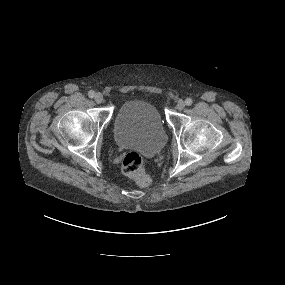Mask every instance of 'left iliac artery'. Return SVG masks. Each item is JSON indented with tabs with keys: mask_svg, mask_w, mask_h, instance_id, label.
Returning a JSON list of instances; mask_svg holds the SVG:
<instances>
[{
	"mask_svg": "<svg viewBox=\"0 0 285 285\" xmlns=\"http://www.w3.org/2000/svg\"><path fill=\"white\" fill-rule=\"evenodd\" d=\"M185 103H186L187 106H190V105H192L193 101H192L191 98H187V99L185 100Z\"/></svg>",
	"mask_w": 285,
	"mask_h": 285,
	"instance_id": "1",
	"label": "left iliac artery"
}]
</instances>
